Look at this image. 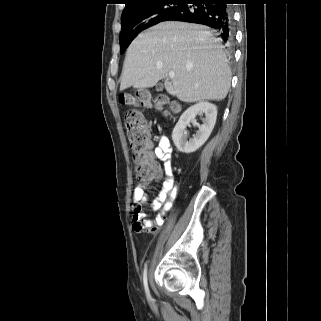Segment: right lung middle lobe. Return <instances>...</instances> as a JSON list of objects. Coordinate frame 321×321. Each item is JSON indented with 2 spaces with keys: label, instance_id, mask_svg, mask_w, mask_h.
Wrapping results in <instances>:
<instances>
[{
  "label": "right lung middle lobe",
  "instance_id": "dd1d6c3e",
  "mask_svg": "<svg viewBox=\"0 0 321 321\" xmlns=\"http://www.w3.org/2000/svg\"><path fill=\"white\" fill-rule=\"evenodd\" d=\"M184 0H154L134 13L121 17L119 36L120 53H124L132 40L143 30L161 22L165 16L178 9Z\"/></svg>",
  "mask_w": 321,
  "mask_h": 321
}]
</instances>
